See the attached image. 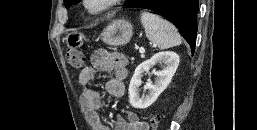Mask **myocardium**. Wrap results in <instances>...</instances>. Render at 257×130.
<instances>
[{"instance_id": "obj_1", "label": "myocardium", "mask_w": 257, "mask_h": 130, "mask_svg": "<svg viewBox=\"0 0 257 130\" xmlns=\"http://www.w3.org/2000/svg\"><path fill=\"white\" fill-rule=\"evenodd\" d=\"M123 0H107L100 8L98 9H91L89 7V0H82V5L84 9L92 15H98L104 13L105 11L113 8L117 4L121 3Z\"/></svg>"}]
</instances>
